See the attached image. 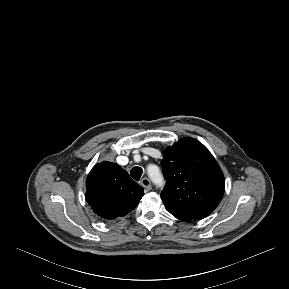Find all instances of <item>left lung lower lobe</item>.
<instances>
[{
    "instance_id": "left-lung-lower-lobe-1",
    "label": "left lung lower lobe",
    "mask_w": 289,
    "mask_h": 289,
    "mask_svg": "<svg viewBox=\"0 0 289 289\" xmlns=\"http://www.w3.org/2000/svg\"><path fill=\"white\" fill-rule=\"evenodd\" d=\"M176 218L182 220V221H185V222H190L191 220H194V219H190V218H186V217H181V216H177V215H174Z\"/></svg>"
}]
</instances>
